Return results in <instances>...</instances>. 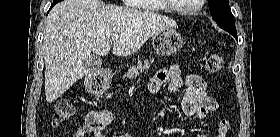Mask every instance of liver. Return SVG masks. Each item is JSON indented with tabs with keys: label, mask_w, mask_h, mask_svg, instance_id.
<instances>
[{
	"label": "liver",
	"mask_w": 280,
	"mask_h": 137,
	"mask_svg": "<svg viewBox=\"0 0 280 137\" xmlns=\"http://www.w3.org/2000/svg\"><path fill=\"white\" fill-rule=\"evenodd\" d=\"M172 19L154 12L106 5L100 0H64L47 17L43 40L45 95L51 103L88 73L83 60L91 52L130 56L158 31L174 28Z\"/></svg>",
	"instance_id": "obj_1"
}]
</instances>
